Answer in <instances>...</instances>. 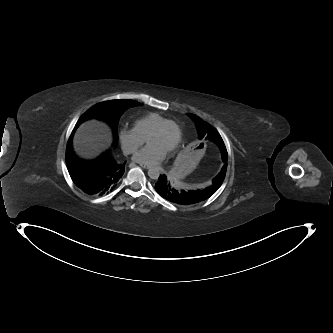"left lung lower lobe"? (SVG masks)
<instances>
[{
    "instance_id": "0a47b994",
    "label": "left lung lower lobe",
    "mask_w": 333,
    "mask_h": 333,
    "mask_svg": "<svg viewBox=\"0 0 333 333\" xmlns=\"http://www.w3.org/2000/svg\"><path fill=\"white\" fill-rule=\"evenodd\" d=\"M221 145L223 146L224 144ZM218 146L220 147V145ZM155 189L166 200L180 205H192L204 201L218 190L214 183L207 188H179L170 182L166 175L159 176Z\"/></svg>"
}]
</instances>
